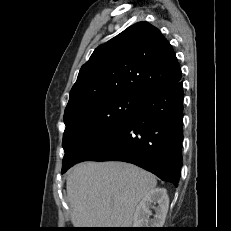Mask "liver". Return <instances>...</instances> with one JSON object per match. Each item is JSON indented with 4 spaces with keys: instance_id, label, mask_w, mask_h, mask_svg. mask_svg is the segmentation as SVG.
<instances>
[{
    "instance_id": "obj_1",
    "label": "liver",
    "mask_w": 231,
    "mask_h": 231,
    "mask_svg": "<svg viewBox=\"0 0 231 231\" xmlns=\"http://www.w3.org/2000/svg\"><path fill=\"white\" fill-rule=\"evenodd\" d=\"M157 185L149 172L124 162H84L66 188L76 228H130L139 202Z\"/></svg>"
}]
</instances>
